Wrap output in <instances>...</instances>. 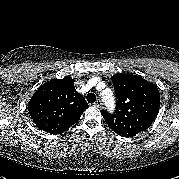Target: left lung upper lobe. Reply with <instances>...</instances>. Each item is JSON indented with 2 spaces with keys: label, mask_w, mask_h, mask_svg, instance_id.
<instances>
[{
  "label": "left lung upper lobe",
  "mask_w": 179,
  "mask_h": 179,
  "mask_svg": "<svg viewBox=\"0 0 179 179\" xmlns=\"http://www.w3.org/2000/svg\"><path fill=\"white\" fill-rule=\"evenodd\" d=\"M117 98L114 113L102 110L108 126L122 137H133L146 130L154 121L160 107L157 86L133 74L112 76Z\"/></svg>",
  "instance_id": "left-lung-upper-lobe-1"
}]
</instances>
